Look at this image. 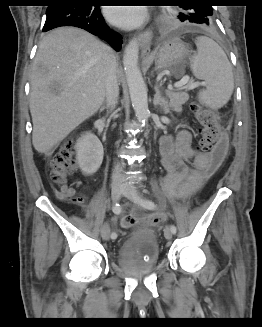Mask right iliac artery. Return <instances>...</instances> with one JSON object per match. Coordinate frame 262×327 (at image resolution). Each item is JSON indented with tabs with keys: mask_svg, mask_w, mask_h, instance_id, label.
I'll list each match as a JSON object with an SVG mask.
<instances>
[{
	"mask_svg": "<svg viewBox=\"0 0 262 327\" xmlns=\"http://www.w3.org/2000/svg\"><path fill=\"white\" fill-rule=\"evenodd\" d=\"M112 211L115 213V214H120L121 213V206L119 205V203H115L112 207ZM111 238L112 239H116L117 238V234L116 233H112L111 234Z\"/></svg>",
	"mask_w": 262,
	"mask_h": 327,
	"instance_id": "1",
	"label": "right iliac artery"
}]
</instances>
